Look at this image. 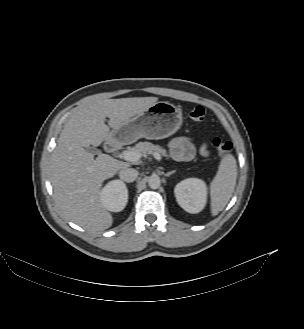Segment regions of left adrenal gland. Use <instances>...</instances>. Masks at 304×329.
<instances>
[{"label":"left adrenal gland","mask_w":304,"mask_h":329,"mask_svg":"<svg viewBox=\"0 0 304 329\" xmlns=\"http://www.w3.org/2000/svg\"><path fill=\"white\" fill-rule=\"evenodd\" d=\"M174 172H175V170L170 171V172L166 173L165 176H166V177H169V176H170L171 174H173Z\"/></svg>","instance_id":"left-adrenal-gland-1"}]
</instances>
